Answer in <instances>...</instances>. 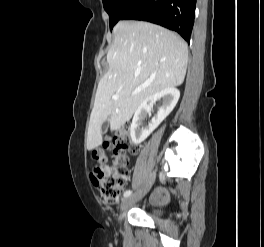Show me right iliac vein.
Instances as JSON below:
<instances>
[{
	"instance_id": "63e3f726",
	"label": "right iliac vein",
	"mask_w": 264,
	"mask_h": 247,
	"mask_svg": "<svg viewBox=\"0 0 264 247\" xmlns=\"http://www.w3.org/2000/svg\"><path fill=\"white\" fill-rule=\"evenodd\" d=\"M154 179H155V173L153 172L150 174V176L146 180L145 184L143 185V187L139 191H137L135 194L125 198L122 201L120 213L118 216L119 221L122 220L123 213L125 210H127L130 206H132L133 204H135L136 202H138L139 200H141L145 196V194L150 190V188L154 182Z\"/></svg>"
}]
</instances>
